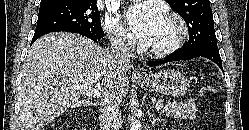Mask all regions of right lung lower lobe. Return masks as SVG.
<instances>
[{
    "label": "right lung lower lobe",
    "instance_id": "obj_1",
    "mask_svg": "<svg viewBox=\"0 0 249 130\" xmlns=\"http://www.w3.org/2000/svg\"><path fill=\"white\" fill-rule=\"evenodd\" d=\"M66 32H71V33H79L81 35H84L90 39H92L93 41L95 42H99L102 40L103 37H99L97 35H94L92 33H89L87 31H84V30H80V29H69V30H64ZM44 35V34H42ZM42 35H34L33 39H32V42L31 44H33L39 37H41Z\"/></svg>",
    "mask_w": 249,
    "mask_h": 130
}]
</instances>
